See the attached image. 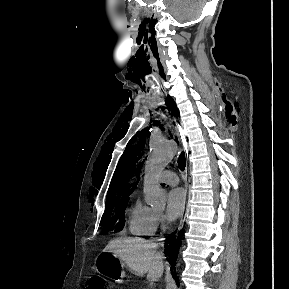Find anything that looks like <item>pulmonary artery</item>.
Instances as JSON below:
<instances>
[{"mask_svg": "<svg viewBox=\"0 0 289 289\" xmlns=\"http://www.w3.org/2000/svg\"><path fill=\"white\" fill-rule=\"evenodd\" d=\"M158 180L165 185H176L178 183L177 174L171 170H165L158 175Z\"/></svg>", "mask_w": 289, "mask_h": 289, "instance_id": "obj_1", "label": "pulmonary artery"}]
</instances>
